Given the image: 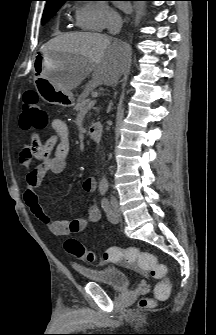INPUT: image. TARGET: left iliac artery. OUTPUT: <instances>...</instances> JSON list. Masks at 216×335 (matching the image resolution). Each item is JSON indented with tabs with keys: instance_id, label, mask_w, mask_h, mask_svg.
<instances>
[{
	"instance_id": "left-iliac-artery-1",
	"label": "left iliac artery",
	"mask_w": 216,
	"mask_h": 335,
	"mask_svg": "<svg viewBox=\"0 0 216 335\" xmlns=\"http://www.w3.org/2000/svg\"><path fill=\"white\" fill-rule=\"evenodd\" d=\"M101 206L103 210L105 211L107 218L109 221L113 222L115 219V215L110 207L109 201L106 198H103L101 201Z\"/></svg>"
}]
</instances>
